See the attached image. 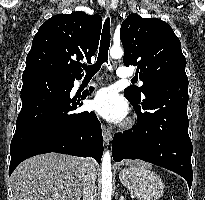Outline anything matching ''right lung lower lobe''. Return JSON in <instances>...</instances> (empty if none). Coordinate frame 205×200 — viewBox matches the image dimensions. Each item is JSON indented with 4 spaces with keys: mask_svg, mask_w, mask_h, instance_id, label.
<instances>
[{
    "mask_svg": "<svg viewBox=\"0 0 205 200\" xmlns=\"http://www.w3.org/2000/svg\"><path fill=\"white\" fill-rule=\"evenodd\" d=\"M22 80V109L10 145L9 175L25 159L48 152L93 157L100 162L103 141L97 116L88 111L73 113L89 93L71 99L75 79L57 74H26Z\"/></svg>",
    "mask_w": 205,
    "mask_h": 200,
    "instance_id": "right-lung-lower-lobe-1",
    "label": "right lung lower lobe"
}]
</instances>
